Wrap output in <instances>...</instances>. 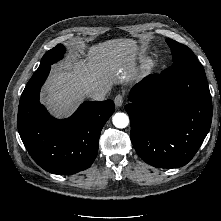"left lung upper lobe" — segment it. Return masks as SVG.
Returning <instances> with one entry per match:
<instances>
[{"mask_svg":"<svg viewBox=\"0 0 221 221\" xmlns=\"http://www.w3.org/2000/svg\"><path fill=\"white\" fill-rule=\"evenodd\" d=\"M166 42L171 48V53L173 56V64L179 61L196 58L192 50L187 46L180 44L171 39H167Z\"/></svg>","mask_w":221,"mask_h":221,"instance_id":"obj_1","label":"left lung upper lobe"}]
</instances>
